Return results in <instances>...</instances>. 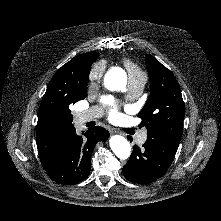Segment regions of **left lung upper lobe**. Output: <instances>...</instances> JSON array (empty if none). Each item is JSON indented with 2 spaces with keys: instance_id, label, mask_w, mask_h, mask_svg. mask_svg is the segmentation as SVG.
<instances>
[{
  "instance_id": "1",
  "label": "left lung upper lobe",
  "mask_w": 221,
  "mask_h": 221,
  "mask_svg": "<svg viewBox=\"0 0 221 221\" xmlns=\"http://www.w3.org/2000/svg\"><path fill=\"white\" fill-rule=\"evenodd\" d=\"M150 96L138 117L147 128V139L181 140L185 105L180 86L172 72L150 54L145 56Z\"/></svg>"
}]
</instances>
